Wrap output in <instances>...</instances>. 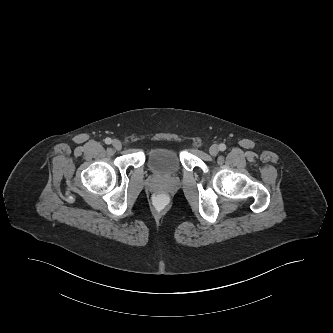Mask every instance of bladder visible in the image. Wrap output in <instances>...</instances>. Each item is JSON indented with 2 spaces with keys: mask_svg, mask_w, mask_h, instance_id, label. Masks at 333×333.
Wrapping results in <instances>:
<instances>
[{
  "mask_svg": "<svg viewBox=\"0 0 333 333\" xmlns=\"http://www.w3.org/2000/svg\"><path fill=\"white\" fill-rule=\"evenodd\" d=\"M146 161L153 173L167 176L176 173L180 169L181 156L173 148L157 147L149 151Z\"/></svg>",
  "mask_w": 333,
  "mask_h": 333,
  "instance_id": "bladder-1",
  "label": "bladder"
}]
</instances>
